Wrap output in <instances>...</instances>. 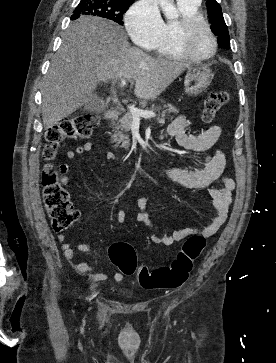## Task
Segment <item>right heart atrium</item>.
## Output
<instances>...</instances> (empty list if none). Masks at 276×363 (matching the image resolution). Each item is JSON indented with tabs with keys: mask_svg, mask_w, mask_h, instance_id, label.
<instances>
[{
	"mask_svg": "<svg viewBox=\"0 0 276 363\" xmlns=\"http://www.w3.org/2000/svg\"><path fill=\"white\" fill-rule=\"evenodd\" d=\"M125 24L132 40L141 46H151L163 28L158 4L155 0H139L125 16Z\"/></svg>",
	"mask_w": 276,
	"mask_h": 363,
	"instance_id": "right-heart-atrium-1",
	"label": "right heart atrium"
}]
</instances>
